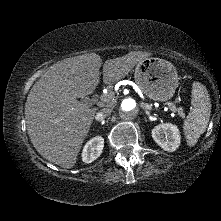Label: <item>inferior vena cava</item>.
Masks as SVG:
<instances>
[{
	"instance_id": "inferior-vena-cava-1",
	"label": "inferior vena cava",
	"mask_w": 221,
	"mask_h": 221,
	"mask_svg": "<svg viewBox=\"0 0 221 221\" xmlns=\"http://www.w3.org/2000/svg\"><path fill=\"white\" fill-rule=\"evenodd\" d=\"M113 108L111 106H107L106 108H103L100 112L97 113L96 115V120L100 121L104 117L108 116L111 114Z\"/></svg>"
}]
</instances>
